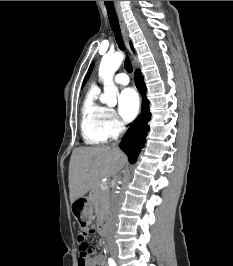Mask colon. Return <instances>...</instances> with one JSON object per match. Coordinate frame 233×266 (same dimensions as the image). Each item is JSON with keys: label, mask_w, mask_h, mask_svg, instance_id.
Instances as JSON below:
<instances>
[{"label": "colon", "mask_w": 233, "mask_h": 266, "mask_svg": "<svg viewBox=\"0 0 233 266\" xmlns=\"http://www.w3.org/2000/svg\"><path fill=\"white\" fill-rule=\"evenodd\" d=\"M94 229L89 228L87 232H82L78 236L79 252H80V264H83L85 258L92 255L93 248L87 243L86 238L89 233H93Z\"/></svg>", "instance_id": "colon-1"}]
</instances>
